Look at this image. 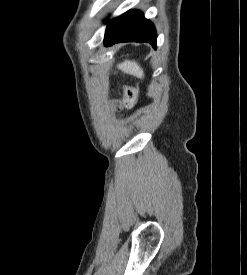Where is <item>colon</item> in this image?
I'll list each match as a JSON object with an SVG mask.
<instances>
[{
	"mask_svg": "<svg viewBox=\"0 0 247 275\" xmlns=\"http://www.w3.org/2000/svg\"><path fill=\"white\" fill-rule=\"evenodd\" d=\"M124 100L121 104L122 108L131 109L133 108L138 100V90L134 86H127L124 90Z\"/></svg>",
	"mask_w": 247,
	"mask_h": 275,
	"instance_id": "colon-1",
	"label": "colon"
}]
</instances>
